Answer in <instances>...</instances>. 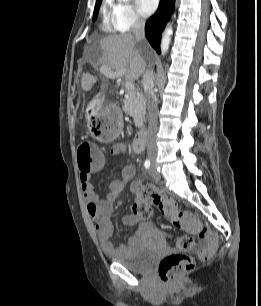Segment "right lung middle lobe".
Returning a JSON list of instances; mask_svg holds the SVG:
<instances>
[{
    "instance_id": "1",
    "label": "right lung middle lobe",
    "mask_w": 261,
    "mask_h": 306,
    "mask_svg": "<svg viewBox=\"0 0 261 306\" xmlns=\"http://www.w3.org/2000/svg\"><path fill=\"white\" fill-rule=\"evenodd\" d=\"M101 1H102V0L96 1L94 13H93V20H95V19L97 18V15H98V11H99V7H100V4H101Z\"/></svg>"
}]
</instances>
